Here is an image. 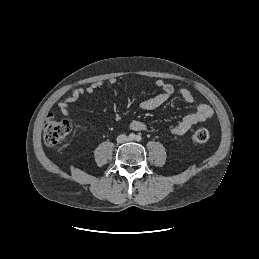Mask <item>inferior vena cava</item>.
Instances as JSON below:
<instances>
[{"instance_id":"602c4592","label":"inferior vena cava","mask_w":259,"mask_h":259,"mask_svg":"<svg viewBox=\"0 0 259 259\" xmlns=\"http://www.w3.org/2000/svg\"><path fill=\"white\" fill-rule=\"evenodd\" d=\"M116 140L118 143H124V142L128 141V137L125 134H121L117 137Z\"/></svg>"}]
</instances>
